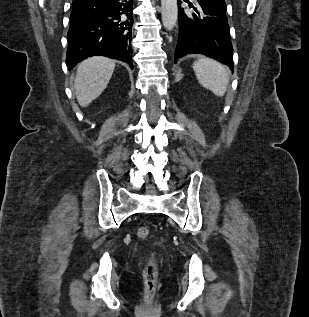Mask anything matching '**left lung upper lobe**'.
Instances as JSON below:
<instances>
[{
	"mask_svg": "<svg viewBox=\"0 0 309 317\" xmlns=\"http://www.w3.org/2000/svg\"><path fill=\"white\" fill-rule=\"evenodd\" d=\"M202 1H207V2H212L220 5H226L225 0H202Z\"/></svg>",
	"mask_w": 309,
	"mask_h": 317,
	"instance_id": "obj_1",
	"label": "left lung upper lobe"
}]
</instances>
